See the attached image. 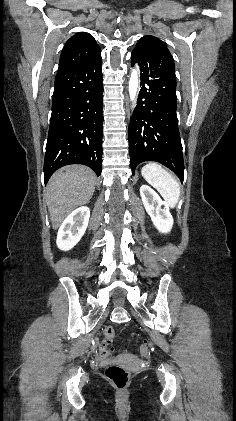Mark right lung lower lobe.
I'll return each mask as SVG.
<instances>
[{
	"label": "right lung lower lobe",
	"instance_id": "1",
	"mask_svg": "<svg viewBox=\"0 0 236 421\" xmlns=\"http://www.w3.org/2000/svg\"><path fill=\"white\" fill-rule=\"evenodd\" d=\"M102 59L58 71L44 160L45 183L60 167L102 169Z\"/></svg>",
	"mask_w": 236,
	"mask_h": 421
}]
</instances>
